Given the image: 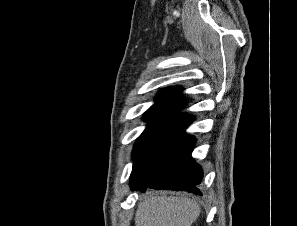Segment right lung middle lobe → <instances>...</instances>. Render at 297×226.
<instances>
[{"instance_id":"dd1d6c3e","label":"right lung middle lobe","mask_w":297,"mask_h":226,"mask_svg":"<svg viewBox=\"0 0 297 226\" xmlns=\"http://www.w3.org/2000/svg\"><path fill=\"white\" fill-rule=\"evenodd\" d=\"M145 121L149 122V124L147 125L144 132L137 139L132 153L134 158L133 169L137 166L142 156L148 150L149 146L151 145V143L153 142L157 134L162 130V128L167 123V121H163V120H145Z\"/></svg>"}]
</instances>
